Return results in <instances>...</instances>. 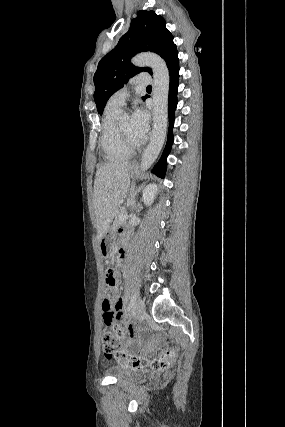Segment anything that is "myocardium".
Segmentation results:
<instances>
[{"label": "myocardium", "mask_w": 285, "mask_h": 427, "mask_svg": "<svg viewBox=\"0 0 285 427\" xmlns=\"http://www.w3.org/2000/svg\"><path fill=\"white\" fill-rule=\"evenodd\" d=\"M125 115H128V114L127 113H120V115L117 118V121H116L117 133H118L122 143L124 144V146H126L129 149L134 150V149L138 148L142 144V142L141 141L133 142L127 137V135L123 129V124H122L123 117Z\"/></svg>", "instance_id": "myocardium-1"}]
</instances>
